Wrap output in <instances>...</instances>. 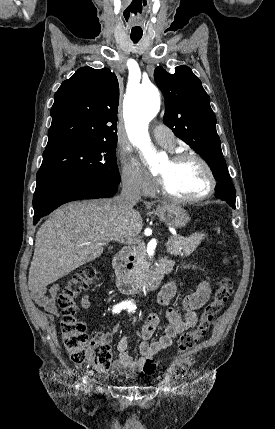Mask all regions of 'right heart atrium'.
<instances>
[{
  "label": "right heart atrium",
  "instance_id": "right-heart-atrium-1",
  "mask_svg": "<svg viewBox=\"0 0 275 429\" xmlns=\"http://www.w3.org/2000/svg\"><path fill=\"white\" fill-rule=\"evenodd\" d=\"M125 188L135 193H146L152 189L150 181L129 164H124L121 172Z\"/></svg>",
  "mask_w": 275,
  "mask_h": 429
}]
</instances>
